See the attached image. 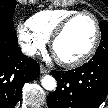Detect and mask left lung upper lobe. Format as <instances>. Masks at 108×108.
<instances>
[{
  "label": "left lung upper lobe",
  "mask_w": 108,
  "mask_h": 108,
  "mask_svg": "<svg viewBox=\"0 0 108 108\" xmlns=\"http://www.w3.org/2000/svg\"><path fill=\"white\" fill-rule=\"evenodd\" d=\"M99 26L101 29L102 37L99 48L95 54H108V22L101 21Z\"/></svg>",
  "instance_id": "left-lung-upper-lobe-1"
}]
</instances>
